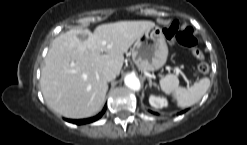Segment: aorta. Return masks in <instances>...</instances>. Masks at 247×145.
<instances>
[{
  "label": "aorta",
  "mask_w": 247,
  "mask_h": 145,
  "mask_svg": "<svg viewBox=\"0 0 247 145\" xmlns=\"http://www.w3.org/2000/svg\"><path fill=\"white\" fill-rule=\"evenodd\" d=\"M124 82L128 88L134 91H138L140 89V86H141L140 81L134 74L126 75Z\"/></svg>",
  "instance_id": "aorta-1"
}]
</instances>
